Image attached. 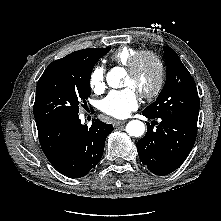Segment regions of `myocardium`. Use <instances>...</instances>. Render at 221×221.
<instances>
[{
    "instance_id": "1",
    "label": "myocardium",
    "mask_w": 221,
    "mask_h": 221,
    "mask_svg": "<svg viewBox=\"0 0 221 221\" xmlns=\"http://www.w3.org/2000/svg\"><path fill=\"white\" fill-rule=\"evenodd\" d=\"M143 58H150L158 68V79L154 88L148 92L139 93V95L145 99H152L156 97L164 87L166 70L164 63L158 54L150 50H141L132 58L131 62L127 66V72L129 74H134Z\"/></svg>"
}]
</instances>
